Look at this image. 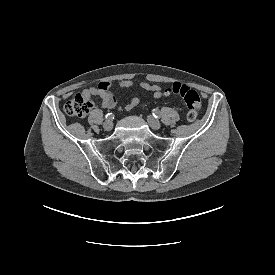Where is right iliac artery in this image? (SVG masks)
<instances>
[{"label":"right iliac artery","mask_w":275,"mask_h":275,"mask_svg":"<svg viewBox=\"0 0 275 275\" xmlns=\"http://www.w3.org/2000/svg\"><path fill=\"white\" fill-rule=\"evenodd\" d=\"M105 118H106L108 121H110V120H112V119L114 118V116L112 115V113H108V114H106Z\"/></svg>","instance_id":"right-iliac-artery-1"}]
</instances>
